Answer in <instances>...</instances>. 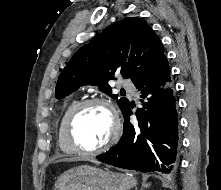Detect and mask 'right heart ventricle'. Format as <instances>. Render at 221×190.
<instances>
[{
	"label": "right heart ventricle",
	"instance_id": "e07e8e85",
	"mask_svg": "<svg viewBox=\"0 0 221 190\" xmlns=\"http://www.w3.org/2000/svg\"><path fill=\"white\" fill-rule=\"evenodd\" d=\"M79 98L72 99L63 110L61 117L58 123V132H57V141L60 150L65 154H73L76 153L70 144L67 142L64 131L65 120L70 113V111L80 102Z\"/></svg>",
	"mask_w": 221,
	"mask_h": 190
}]
</instances>
